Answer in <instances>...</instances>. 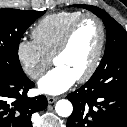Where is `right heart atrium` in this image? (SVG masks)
Wrapping results in <instances>:
<instances>
[{"mask_svg": "<svg viewBox=\"0 0 127 127\" xmlns=\"http://www.w3.org/2000/svg\"><path fill=\"white\" fill-rule=\"evenodd\" d=\"M16 54L23 71L33 80L40 79L52 62L34 40H20L16 47Z\"/></svg>", "mask_w": 127, "mask_h": 127, "instance_id": "obj_1", "label": "right heart atrium"}]
</instances>
